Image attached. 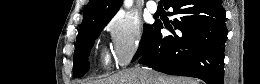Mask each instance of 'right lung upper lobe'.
Instances as JSON below:
<instances>
[{
  "instance_id": "1",
  "label": "right lung upper lobe",
  "mask_w": 260,
  "mask_h": 84,
  "mask_svg": "<svg viewBox=\"0 0 260 84\" xmlns=\"http://www.w3.org/2000/svg\"><path fill=\"white\" fill-rule=\"evenodd\" d=\"M121 4L122 0H90L85 8L78 36L95 22L103 20L110 21Z\"/></svg>"
}]
</instances>
